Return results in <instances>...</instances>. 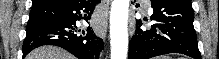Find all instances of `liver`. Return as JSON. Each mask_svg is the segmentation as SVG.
Returning <instances> with one entry per match:
<instances>
[{"label": "liver", "mask_w": 219, "mask_h": 59, "mask_svg": "<svg viewBox=\"0 0 219 59\" xmlns=\"http://www.w3.org/2000/svg\"><path fill=\"white\" fill-rule=\"evenodd\" d=\"M26 59H75L70 53L54 46H42L30 52Z\"/></svg>", "instance_id": "1"}]
</instances>
